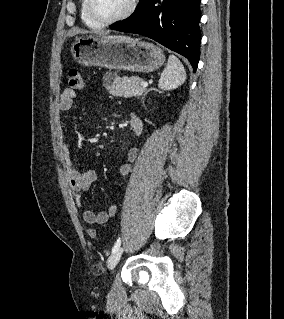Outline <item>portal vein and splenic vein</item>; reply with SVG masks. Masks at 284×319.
Wrapping results in <instances>:
<instances>
[{"instance_id": "portal-vein-and-splenic-vein-1", "label": "portal vein and splenic vein", "mask_w": 284, "mask_h": 319, "mask_svg": "<svg viewBox=\"0 0 284 319\" xmlns=\"http://www.w3.org/2000/svg\"><path fill=\"white\" fill-rule=\"evenodd\" d=\"M140 85L145 88L148 86V83L146 81H142Z\"/></svg>"}]
</instances>
